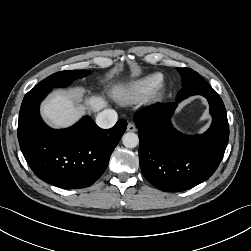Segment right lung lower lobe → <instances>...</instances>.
I'll return each mask as SVG.
<instances>
[{
  "label": "right lung lower lobe",
  "instance_id": "right-lung-lower-lobe-1",
  "mask_svg": "<svg viewBox=\"0 0 251 251\" xmlns=\"http://www.w3.org/2000/svg\"><path fill=\"white\" fill-rule=\"evenodd\" d=\"M50 91L33 88L22 101L18 120L21 151L43 181L67 189L88 187L105 171L127 122L119 120L104 130L85 116L70 128L52 129L39 113V105Z\"/></svg>",
  "mask_w": 251,
  "mask_h": 251
}]
</instances>
